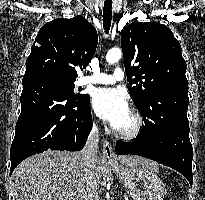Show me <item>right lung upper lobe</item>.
<instances>
[{
	"mask_svg": "<svg viewBox=\"0 0 205 200\" xmlns=\"http://www.w3.org/2000/svg\"><path fill=\"white\" fill-rule=\"evenodd\" d=\"M97 44L96 29L82 15L54 19L39 30L23 79L58 75L76 80V68L82 70L89 64Z\"/></svg>",
	"mask_w": 205,
	"mask_h": 200,
	"instance_id": "right-lung-upper-lobe-1",
	"label": "right lung upper lobe"
}]
</instances>
